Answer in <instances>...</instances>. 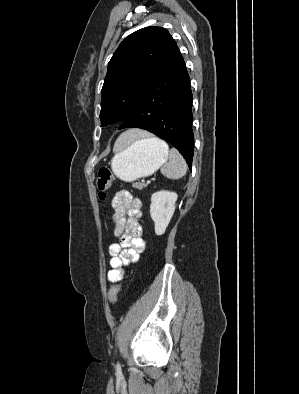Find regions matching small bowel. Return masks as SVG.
I'll list each match as a JSON object with an SVG mask.
<instances>
[{
	"label": "small bowel",
	"mask_w": 299,
	"mask_h": 394,
	"mask_svg": "<svg viewBox=\"0 0 299 394\" xmlns=\"http://www.w3.org/2000/svg\"><path fill=\"white\" fill-rule=\"evenodd\" d=\"M113 235L119 242L109 246L111 256L108 273L110 282L120 281L125 273L124 267L139 259L145 249V240L140 225L141 201L126 190L118 191L112 199Z\"/></svg>",
	"instance_id": "c3829d8e"
}]
</instances>
